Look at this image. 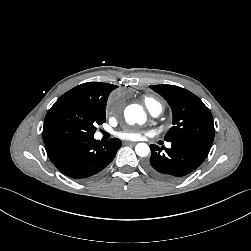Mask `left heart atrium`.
Masks as SVG:
<instances>
[{
	"label": "left heart atrium",
	"instance_id": "obj_1",
	"mask_svg": "<svg viewBox=\"0 0 251 251\" xmlns=\"http://www.w3.org/2000/svg\"><path fill=\"white\" fill-rule=\"evenodd\" d=\"M119 137L125 140H139L143 136V132L137 128H129L119 132Z\"/></svg>",
	"mask_w": 251,
	"mask_h": 251
}]
</instances>
